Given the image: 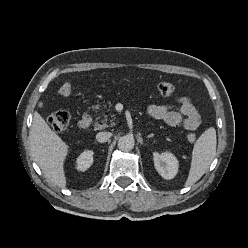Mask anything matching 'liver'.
<instances>
[{
  "mask_svg": "<svg viewBox=\"0 0 248 248\" xmlns=\"http://www.w3.org/2000/svg\"><path fill=\"white\" fill-rule=\"evenodd\" d=\"M30 149L45 177L61 188L66 186L64 162L69 146L54 132L38 112L33 114Z\"/></svg>",
  "mask_w": 248,
  "mask_h": 248,
  "instance_id": "6515ba94",
  "label": "liver"
}]
</instances>
